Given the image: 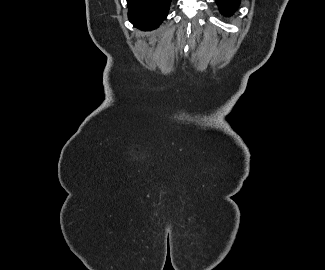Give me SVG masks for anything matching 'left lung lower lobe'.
Here are the masks:
<instances>
[{
  "mask_svg": "<svg viewBox=\"0 0 325 270\" xmlns=\"http://www.w3.org/2000/svg\"><path fill=\"white\" fill-rule=\"evenodd\" d=\"M219 10L222 14L230 16L238 7L240 0H216Z\"/></svg>",
  "mask_w": 325,
  "mask_h": 270,
  "instance_id": "1",
  "label": "left lung lower lobe"
}]
</instances>
